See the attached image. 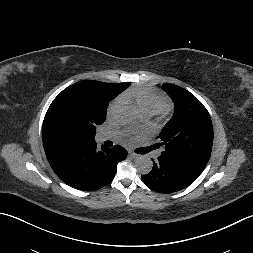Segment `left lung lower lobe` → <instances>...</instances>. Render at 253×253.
<instances>
[{
    "instance_id": "0a47b994",
    "label": "left lung lower lobe",
    "mask_w": 253,
    "mask_h": 253,
    "mask_svg": "<svg viewBox=\"0 0 253 253\" xmlns=\"http://www.w3.org/2000/svg\"><path fill=\"white\" fill-rule=\"evenodd\" d=\"M203 170L179 160L160 155L153 161V169L142 175L143 182L161 193H172L188 187Z\"/></svg>"
}]
</instances>
